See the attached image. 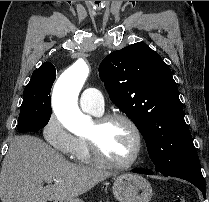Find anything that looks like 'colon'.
Masks as SVG:
<instances>
[{
  "label": "colon",
  "mask_w": 209,
  "mask_h": 202,
  "mask_svg": "<svg viewBox=\"0 0 209 202\" xmlns=\"http://www.w3.org/2000/svg\"><path fill=\"white\" fill-rule=\"evenodd\" d=\"M168 202H187V201L183 198H175V199L168 201Z\"/></svg>",
  "instance_id": "colon-1"
}]
</instances>
